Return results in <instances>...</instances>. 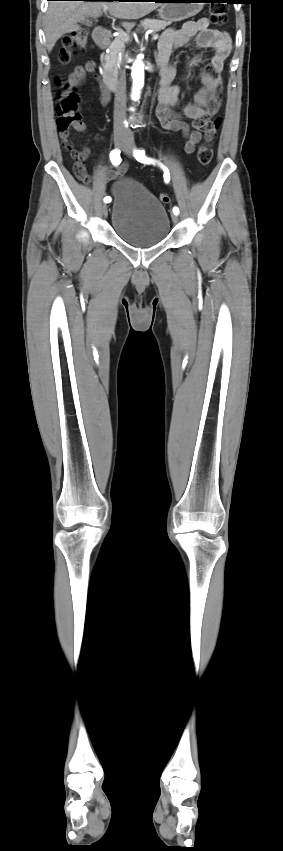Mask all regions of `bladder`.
Returning a JSON list of instances; mask_svg holds the SVG:
<instances>
[{"label": "bladder", "instance_id": "obj_1", "mask_svg": "<svg viewBox=\"0 0 283 851\" xmlns=\"http://www.w3.org/2000/svg\"><path fill=\"white\" fill-rule=\"evenodd\" d=\"M111 225L125 243L139 248L166 239L170 220L163 204L141 183L123 178L114 186Z\"/></svg>", "mask_w": 283, "mask_h": 851}]
</instances>
